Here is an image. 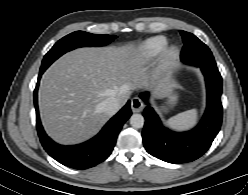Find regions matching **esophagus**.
<instances>
[{
    "mask_svg": "<svg viewBox=\"0 0 248 195\" xmlns=\"http://www.w3.org/2000/svg\"><path fill=\"white\" fill-rule=\"evenodd\" d=\"M144 108V103L143 101L138 98V97H134L131 101V109L134 113H138L141 112Z\"/></svg>",
    "mask_w": 248,
    "mask_h": 195,
    "instance_id": "obj_1",
    "label": "esophagus"
}]
</instances>
